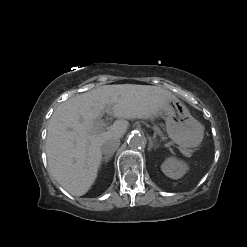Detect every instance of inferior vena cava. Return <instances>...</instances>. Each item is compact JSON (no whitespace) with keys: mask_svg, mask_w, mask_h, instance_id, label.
I'll return each mask as SVG.
<instances>
[{"mask_svg":"<svg viewBox=\"0 0 247 247\" xmlns=\"http://www.w3.org/2000/svg\"><path fill=\"white\" fill-rule=\"evenodd\" d=\"M120 145V139L109 138L105 140L101 146V151L103 154L109 156L113 155Z\"/></svg>","mask_w":247,"mask_h":247,"instance_id":"1","label":"inferior vena cava"}]
</instances>
